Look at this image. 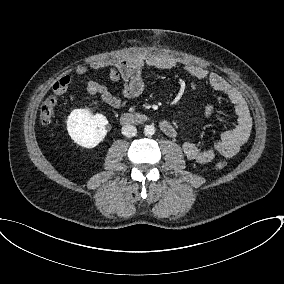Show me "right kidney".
<instances>
[{
  "label": "right kidney",
  "instance_id": "obj_1",
  "mask_svg": "<svg viewBox=\"0 0 284 284\" xmlns=\"http://www.w3.org/2000/svg\"><path fill=\"white\" fill-rule=\"evenodd\" d=\"M107 125L108 120L104 115H93L88 109H74L67 119L71 139L85 148H93L104 140Z\"/></svg>",
  "mask_w": 284,
  "mask_h": 284
}]
</instances>
